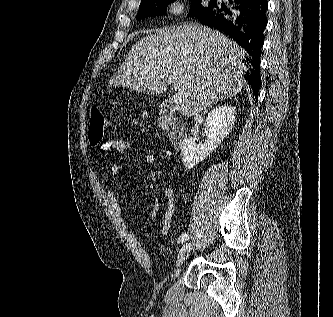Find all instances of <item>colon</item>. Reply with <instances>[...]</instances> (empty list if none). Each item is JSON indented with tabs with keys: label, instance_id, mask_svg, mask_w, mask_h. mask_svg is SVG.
<instances>
[{
	"label": "colon",
	"instance_id": "colon-1",
	"mask_svg": "<svg viewBox=\"0 0 333 317\" xmlns=\"http://www.w3.org/2000/svg\"><path fill=\"white\" fill-rule=\"evenodd\" d=\"M110 124L102 109L94 106L90 110L89 141L93 147L98 146L104 136L105 128Z\"/></svg>",
	"mask_w": 333,
	"mask_h": 317
}]
</instances>
